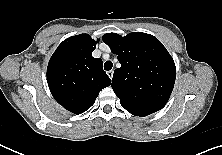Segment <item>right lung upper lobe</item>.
Segmentation results:
<instances>
[{"instance_id":"1","label":"right lung upper lobe","mask_w":222,"mask_h":155,"mask_svg":"<svg viewBox=\"0 0 222 155\" xmlns=\"http://www.w3.org/2000/svg\"><path fill=\"white\" fill-rule=\"evenodd\" d=\"M97 42L88 34L67 38L48 63L47 82L53 97L74 114L88 110L99 92L111 84L102 60L92 57Z\"/></svg>"}]
</instances>
